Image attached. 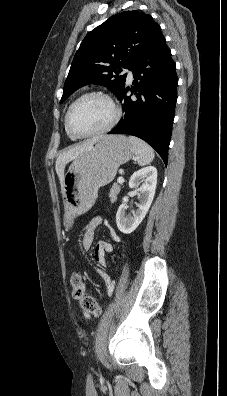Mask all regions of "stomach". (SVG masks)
I'll use <instances>...</instances> for the list:
<instances>
[{"label":"stomach","instance_id":"1","mask_svg":"<svg viewBox=\"0 0 227 396\" xmlns=\"http://www.w3.org/2000/svg\"><path fill=\"white\" fill-rule=\"evenodd\" d=\"M133 153L125 136L109 135L99 138L73 160L64 176L62 191L66 229L76 216L94 205L98 189L113 181L119 166L128 162Z\"/></svg>","mask_w":227,"mask_h":396}]
</instances>
